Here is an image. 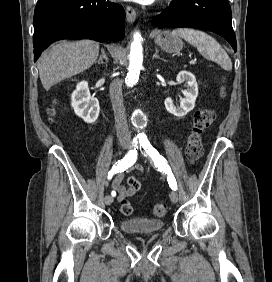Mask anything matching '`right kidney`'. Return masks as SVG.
Listing matches in <instances>:
<instances>
[{"mask_svg":"<svg viewBox=\"0 0 272 282\" xmlns=\"http://www.w3.org/2000/svg\"><path fill=\"white\" fill-rule=\"evenodd\" d=\"M71 105L75 114L86 123L92 124L98 119L99 101L90 95L87 81H81L77 84L76 90L71 95Z\"/></svg>","mask_w":272,"mask_h":282,"instance_id":"ca27d5eb","label":"right kidney"}]
</instances>
